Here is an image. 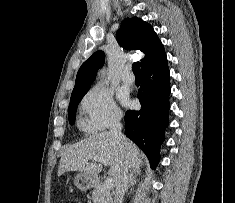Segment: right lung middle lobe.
<instances>
[{
	"mask_svg": "<svg viewBox=\"0 0 235 203\" xmlns=\"http://www.w3.org/2000/svg\"><path fill=\"white\" fill-rule=\"evenodd\" d=\"M88 90L89 88L71 95L69 109H68V118H69V123L71 125H73L75 122V114H76L77 106L79 102L81 101L82 97L85 95V93Z\"/></svg>",
	"mask_w": 235,
	"mask_h": 203,
	"instance_id": "obj_1",
	"label": "right lung middle lobe"
}]
</instances>
